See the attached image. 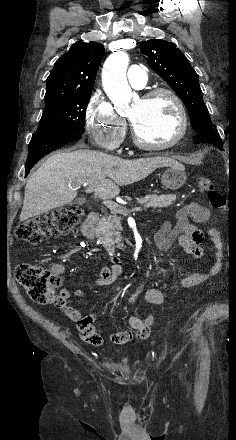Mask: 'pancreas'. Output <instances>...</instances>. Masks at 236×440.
<instances>
[{
  "label": "pancreas",
  "instance_id": "cf45deb5",
  "mask_svg": "<svg viewBox=\"0 0 236 440\" xmlns=\"http://www.w3.org/2000/svg\"><path fill=\"white\" fill-rule=\"evenodd\" d=\"M176 200V195H146L138 199V203L144 205L145 208L160 209L166 208L173 204ZM124 208V207H123ZM126 209V208H124ZM116 211H112L109 215H104L98 222L97 233L98 238L108 252L115 251V244L118 249H123L124 244L121 242V218L117 216ZM123 214V213H122Z\"/></svg>",
  "mask_w": 236,
  "mask_h": 440
}]
</instances>
